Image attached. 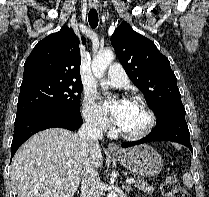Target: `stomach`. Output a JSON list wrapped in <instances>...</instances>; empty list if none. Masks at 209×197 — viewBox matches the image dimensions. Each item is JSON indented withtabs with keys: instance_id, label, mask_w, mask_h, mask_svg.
Returning a JSON list of instances; mask_svg holds the SVG:
<instances>
[{
	"instance_id": "stomach-1",
	"label": "stomach",
	"mask_w": 209,
	"mask_h": 197,
	"mask_svg": "<svg viewBox=\"0 0 209 197\" xmlns=\"http://www.w3.org/2000/svg\"><path fill=\"white\" fill-rule=\"evenodd\" d=\"M114 156L125 168L140 176L152 177L163 168L161 156L149 145L135 146Z\"/></svg>"
}]
</instances>
